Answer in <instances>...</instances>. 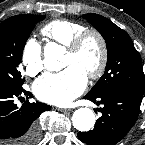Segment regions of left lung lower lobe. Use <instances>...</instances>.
<instances>
[{
    "instance_id": "obj_1",
    "label": "left lung lower lobe",
    "mask_w": 145,
    "mask_h": 145,
    "mask_svg": "<svg viewBox=\"0 0 145 145\" xmlns=\"http://www.w3.org/2000/svg\"><path fill=\"white\" fill-rule=\"evenodd\" d=\"M102 104L98 109L102 116L96 121L93 130L79 132L78 138L87 145H114L128 133L134 125L142 96L131 91L116 90L97 97H84Z\"/></svg>"
}]
</instances>
